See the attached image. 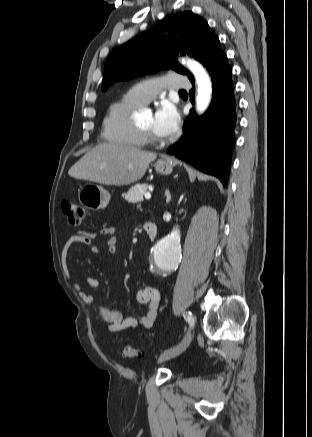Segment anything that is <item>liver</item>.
<instances>
[{
    "label": "liver",
    "instance_id": "1",
    "mask_svg": "<svg viewBox=\"0 0 312 437\" xmlns=\"http://www.w3.org/2000/svg\"><path fill=\"white\" fill-rule=\"evenodd\" d=\"M157 154L137 147L101 143L76 162L68 174L104 185L123 186L140 180Z\"/></svg>",
    "mask_w": 312,
    "mask_h": 437
}]
</instances>
